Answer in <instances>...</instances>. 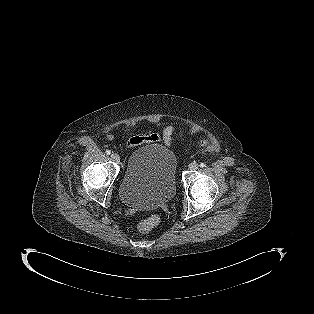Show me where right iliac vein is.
<instances>
[{"instance_id": "63e3f726", "label": "right iliac vein", "mask_w": 314, "mask_h": 314, "mask_svg": "<svg viewBox=\"0 0 314 314\" xmlns=\"http://www.w3.org/2000/svg\"><path fill=\"white\" fill-rule=\"evenodd\" d=\"M111 159L114 161V162H119L120 161V157L118 154L116 153H112L111 154Z\"/></svg>"}]
</instances>
